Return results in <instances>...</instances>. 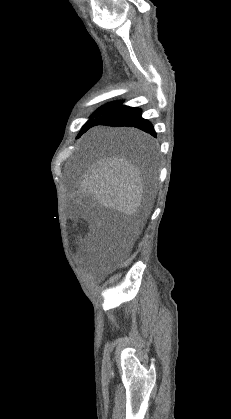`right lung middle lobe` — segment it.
<instances>
[{"label": "right lung middle lobe", "mask_w": 231, "mask_h": 419, "mask_svg": "<svg viewBox=\"0 0 231 419\" xmlns=\"http://www.w3.org/2000/svg\"><path fill=\"white\" fill-rule=\"evenodd\" d=\"M121 104V102H111L108 103L102 107H100L95 113H93V115L90 117V119L83 125L80 133L78 134V138L85 133L90 127H92V125L97 121V119L99 117H101L102 115H104L105 113L109 112L110 110H112L113 108H115L116 106H119ZM124 142H129L130 146L134 147H143V146H147L148 143L145 141H138V140H124Z\"/></svg>", "instance_id": "1"}]
</instances>
